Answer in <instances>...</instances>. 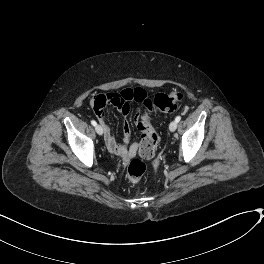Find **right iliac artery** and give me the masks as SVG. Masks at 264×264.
I'll return each mask as SVG.
<instances>
[{"label":"right iliac artery","mask_w":264,"mask_h":264,"mask_svg":"<svg viewBox=\"0 0 264 264\" xmlns=\"http://www.w3.org/2000/svg\"><path fill=\"white\" fill-rule=\"evenodd\" d=\"M91 124H92L93 126H96V125H97V122H96L95 120H91Z\"/></svg>","instance_id":"right-iliac-artery-1"}]
</instances>
